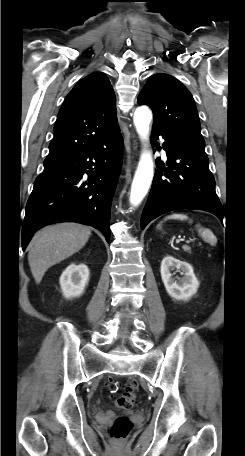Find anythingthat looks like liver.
<instances>
[{
	"label": "liver",
	"instance_id": "6515ba94",
	"mask_svg": "<svg viewBox=\"0 0 245 456\" xmlns=\"http://www.w3.org/2000/svg\"><path fill=\"white\" fill-rule=\"evenodd\" d=\"M91 235L89 227L78 223H59L38 231L29 244L28 261L39 284L53 265L82 249Z\"/></svg>",
	"mask_w": 245,
	"mask_h": 456
}]
</instances>
